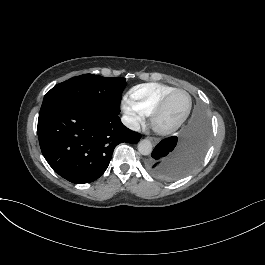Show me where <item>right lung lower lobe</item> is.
I'll list each match as a JSON object with an SVG mask.
<instances>
[{
	"label": "right lung lower lobe",
	"mask_w": 265,
	"mask_h": 265,
	"mask_svg": "<svg viewBox=\"0 0 265 265\" xmlns=\"http://www.w3.org/2000/svg\"><path fill=\"white\" fill-rule=\"evenodd\" d=\"M37 132L43 156L52 169L77 184L98 179L119 143L135 144L141 138L126 128L118 115L93 112L70 102L40 111Z\"/></svg>",
	"instance_id": "right-lung-lower-lobe-1"
}]
</instances>
